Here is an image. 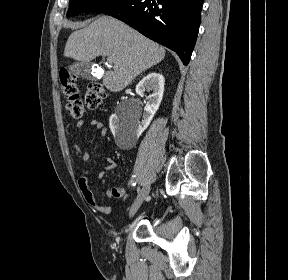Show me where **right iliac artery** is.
<instances>
[{
    "label": "right iliac artery",
    "instance_id": "82829eb1",
    "mask_svg": "<svg viewBox=\"0 0 288 280\" xmlns=\"http://www.w3.org/2000/svg\"><path fill=\"white\" fill-rule=\"evenodd\" d=\"M133 177H135V176H133ZM136 179L135 178H133L132 180H131V186L132 187H134V186H136Z\"/></svg>",
    "mask_w": 288,
    "mask_h": 280
}]
</instances>
